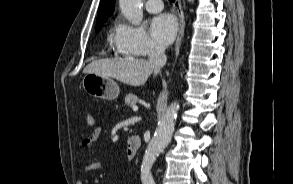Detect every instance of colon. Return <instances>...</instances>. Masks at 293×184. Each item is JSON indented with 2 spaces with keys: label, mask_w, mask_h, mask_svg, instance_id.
I'll use <instances>...</instances> for the list:
<instances>
[{
  "label": "colon",
  "mask_w": 293,
  "mask_h": 184,
  "mask_svg": "<svg viewBox=\"0 0 293 184\" xmlns=\"http://www.w3.org/2000/svg\"><path fill=\"white\" fill-rule=\"evenodd\" d=\"M86 122L89 126H93L95 124V118L92 114H88L86 117Z\"/></svg>",
  "instance_id": "1"
}]
</instances>
